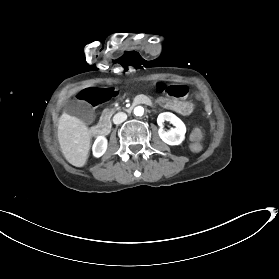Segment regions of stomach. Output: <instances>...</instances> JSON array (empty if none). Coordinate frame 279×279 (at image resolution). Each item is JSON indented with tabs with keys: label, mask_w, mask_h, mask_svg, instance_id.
Instances as JSON below:
<instances>
[{
	"label": "stomach",
	"mask_w": 279,
	"mask_h": 279,
	"mask_svg": "<svg viewBox=\"0 0 279 279\" xmlns=\"http://www.w3.org/2000/svg\"><path fill=\"white\" fill-rule=\"evenodd\" d=\"M161 105L165 109L172 108V110L175 112H179V111L182 113L186 112L189 115L194 114L196 111V107L194 104L192 103L188 104L187 102L178 101V100L173 101L170 98L163 99Z\"/></svg>",
	"instance_id": "1"
}]
</instances>
